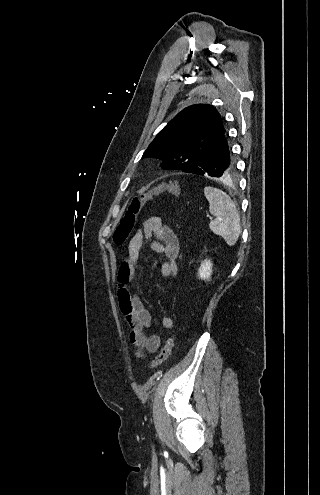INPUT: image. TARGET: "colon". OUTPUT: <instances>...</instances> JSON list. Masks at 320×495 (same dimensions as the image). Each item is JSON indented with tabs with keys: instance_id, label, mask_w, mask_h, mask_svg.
I'll return each mask as SVG.
<instances>
[{
	"instance_id": "1",
	"label": "colon",
	"mask_w": 320,
	"mask_h": 495,
	"mask_svg": "<svg viewBox=\"0 0 320 495\" xmlns=\"http://www.w3.org/2000/svg\"><path fill=\"white\" fill-rule=\"evenodd\" d=\"M164 192L180 196L182 195V188L175 182H163L152 188L149 192L134 198L131 201L125 216L121 219L119 225L114 231L113 239L116 244L121 245L128 239L135 224L136 216L138 215L142 205L152 197ZM175 339V334L169 335L160 353L151 364V369H156L169 358L175 344Z\"/></svg>"
}]
</instances>
